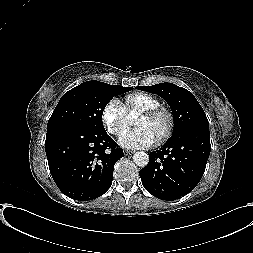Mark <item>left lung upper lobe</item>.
Segmentation results:
<instances>
[{"label":"left lung upper lobe","mask_w":253,"mask_h":253,"mask_svg":"<svg viewBox=\"0 0 253 253\" xmlns=\"http://www.w3.org/2000/svg\"><path fill=\"white\" fill-rule=\"evenodd\" d=\"M136 88L157 94L169 104L174 118L172 136L188 128L209 129V122L202 107L194 95L185 88L172 83L138 86Z\"/></svg>","instance_id":"obj_1"}]
</instances>
